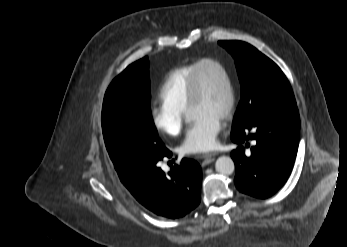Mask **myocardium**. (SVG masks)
<instances>
[{
  "instance_id": "f54148a6",
  "label": "myocardium",
  "mask_w": 347,
  "mask_h": 247,
  "mask_svg": "<svg viewBox=\"0 0 347 247\" xmlns=\"http://www.w3.org/2000/svg\"><path fill=\"white\" fill-rule=\"evenodd\" d=\"M205 65H210V66H214L218 68L225 77L227 89H228V103L222 118L227 120L232 116L235 109V105H236L235 85H234L232 75L229 69L226 67V65L222 63L221 61L214 58H203L197 62L191 77L190 85H189L187 110H189V108L192 105L198 102L201 97V83H200L199 72H200V69Z\"/></svg>"
}]
</instances>
